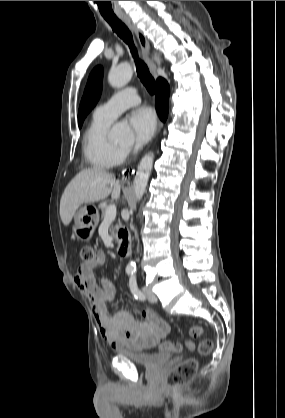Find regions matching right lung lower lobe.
<instances>
[{"instance_id": "right-lung-lower-lobe-1", "label": "right lung lower lobe", "mask_w": 285, "mask_h": 418, "mask_svg": "<svg viewBox=\"0 0 285 418\" xmlns=\"http://www.w3.org/2000/svg\"><path fill=\"white\" fill-rule=\"evenodd\" d=\"M157 94H156V104L157 112L162 121H165L168 116V103H169V94L170 88L167 81L163 78L157 79Z\"/></svg>"}]
</instances>
